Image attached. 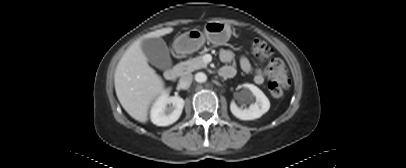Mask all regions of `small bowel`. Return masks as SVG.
<instances>
[{
	"mask_svg": "<svg viewBox=\"0 0 406 168\" xmlns=\"http://www.w3.org/2000/svg\"><path fill=\"white\" fill-rule=\"evenodd\" d=\"M220 59L225 63H231L234 59V52L230 48L222 49L220 51ZM240 67L245 73H252L253 80L256 84L261 85L265 81V75L261 69L254 68L250 60L246 56L240 57ZM236 69L232 65H226L221 69V74L225 77H233Z\"/></svg>",
	"mask_w": 406,
	"mask_h": 168,
	"instance_id": "small-bowel-1",
	"label": "small bowel"
}]
</instances>
